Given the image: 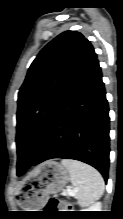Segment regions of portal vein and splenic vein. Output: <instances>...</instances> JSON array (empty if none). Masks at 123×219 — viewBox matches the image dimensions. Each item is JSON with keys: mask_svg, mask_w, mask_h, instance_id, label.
Masks as SVG:
<instances>
[{"mask_svg": "<svg viewBox=\"0 0 123 219\" xmlns=\"http://www.w3.org/2000/svg\"><path fill=\"white\" fill-rule=\"evenodd\" d=\"M76 193H77V190H75V189H67V190H65V192H64V194H69V195H71V196L76 195Z\"/></svg>", "mask_w": 123, "mask_h": 219, "instance_id": "18ae733b", "label": "portal vein and splenic vein"}]
</instances>
